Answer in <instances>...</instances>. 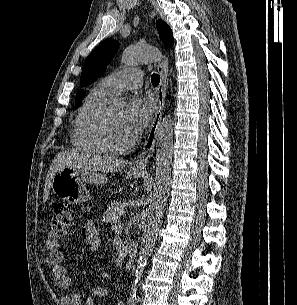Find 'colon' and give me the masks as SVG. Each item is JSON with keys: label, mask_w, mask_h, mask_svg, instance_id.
<instances>
[{"label": "colon", "mask_w": 297, "mask_h": 305, "mask_svg": "<svg viewBox=\"0 0 297 305\" xmlns=\"http://www.w3.org/2000/svg\"><path fill=\"white\" fill-rule=\"evenodd\" d=\"M74 229V216L69 205L59 203L55 207V214L51 230L57 234L69 235Z\"/></svg>", "instance_id": "5ec220e1"}]
</instances>
